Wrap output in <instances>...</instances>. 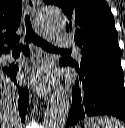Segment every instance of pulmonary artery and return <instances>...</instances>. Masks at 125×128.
<instances>
[{
	"label": "pulmonary artery",
	"mask_w": 125,
	"mask_h": 128,
	"mask_svg": "<svg viewBox=\"0 0 125 128\" xmlns=\"http://www.w3.org/2000/svg\"><path fill=\"white\" fill-rule=\"evenodd\" d=\"M55 46L59 48H68L74 46V40L69 34H58L54 36ZM11 57H5V62H10Z\"/></svg>",
	"instance_id": "e3ab8cb5"
}]
</instances>
